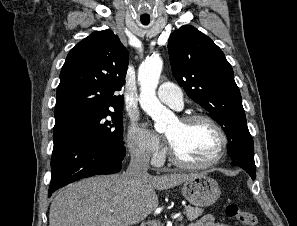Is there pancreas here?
I'll return each mask as SVG.
<instances>
[{
	"label": "pancreas",
	"instance_id": "cf45deb5",
	"mask_svg": "<svg viewBox=\"0 0 297 226\" xmlns=\"http://www.w3.org/2000/svg\"><path fill=\"white\" fill-rule=\"evenodd\" d=\"M203 213V210L198 207H192L190 205L185 207V214L188 221H194L200 217ZM151 226H163L160 222L153 221L150 223Z\"/></svg>",
	"mask_w": 297,
	"mask_h": 226
}]
</instances>
